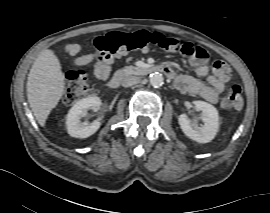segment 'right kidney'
Returning a JSON list of instances; mask_svg holds the SVG:
<instances>
[{"label":"right kidney","mask_w":270,"mask_h":213,"mask_svg":"<svg viewBox=\"0 0 270 213\" xmlns=\"http://www.w3.org/2000/svg\"><path fill=\"white\" fill-rule=\"evenodd\" d=\"M99 97H87L77 101L69 110L66 118L68 134L75 138H87L93 135L101 126V122L81 123L80 119L86 115L90 108H99Z\"/></svg>","instance_id":"right-kidney-1"}]
</instances>
